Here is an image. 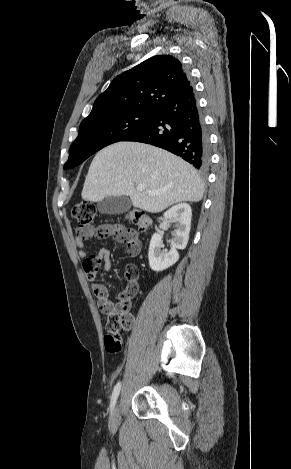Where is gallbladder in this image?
I'll return each mask as SVG.
<instances>
[{
	"label": "gallbladder",
	"instance_id": "gallbladder-1",
	"mask_svg": "<svg viewBox=\"0 0 291 469\" xmlns=\"http://www.w3.org/2000/svg\"><path fill=\"white\" fill-rule=\"evenodd\" d=\"M97 208L102 214H121L131 208V201L126 196H108L98 202Z\"/></svg>",
	"mask_w": 291,
	"mask_h": 469
}]
</instances>
